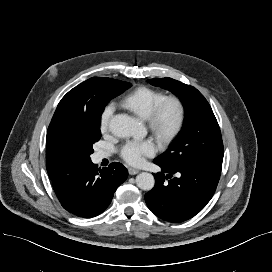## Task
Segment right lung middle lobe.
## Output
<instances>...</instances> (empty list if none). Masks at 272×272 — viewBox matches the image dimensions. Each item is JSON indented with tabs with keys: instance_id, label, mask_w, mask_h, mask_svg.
Returning <instances> with one entry per match:
<instances>
[{
	"instance_id": "right-lung-middle-lobe-1",
	"label": "right lung middle lobe",
	"mask_w": 272,
	"mask_h": 272,
	"mask_svg": "<svg viewBox=\"0 0 272 272\" xmlns=\"http://www.w3.org/2000/svg\"><path fill=\"white\" fill-rule=\"evenodd\" d=\"M130 86L131 84L128 82L112 79L98 98L96 113L92 120L67 131L65 143L77 163L91 160L90 154L94 152L93 144L101 137L100 118L104 107L113 97Z\"/></svg>"
}]
</instances>
